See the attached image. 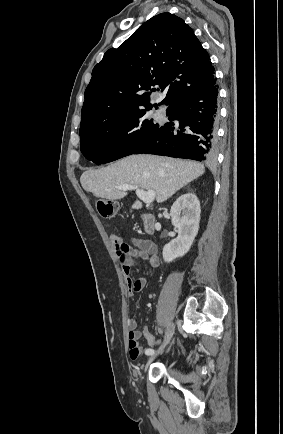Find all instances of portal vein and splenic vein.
<instances>
[{
	"label": "portal vein and splenic vein",
	"instance_id": "portal-vein-and-splenic-vein-1",
	"mask_svg": "<svg viewBox=\"0 0 283 434\" xmlns=\"http://www.w3.org/2000/svg\"><path fill=\"white\" fill-rule=\"evenodd\" d=\"M118 189H120L122 191L135 190L137 196L140 199H142L143 202L146 204H151L155 199V192L154 191H144V190L140 189L138 186L124 184V185L118 186Z\"/></svg>",
	"mask_w": 283,
	"mask_h": 434
}]
</instances>
